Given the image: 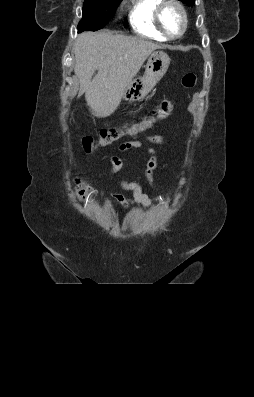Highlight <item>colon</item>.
Masks as SVG:
<instances>
[{
  "label": "colon",
  "instance_id": "1",
  "mask_svg": "<svg viewBox=\"0 0 254 397\" xmlns=\"http://www.w3.org/2000/svg\"><path fill=\"white\" fill-rule=\"evenodd\" d=\"M196 75L192 72L185 74L182 77L181 84L184 88L190 89L196 84ZM174 109V102L169 99L160 101L152 110L150 115L137 123H132L124 128L108 127L100 130L98 137L94 140L92 137L83 138V146L87 152H90L98 147L109 145L124 135H135L152 127L157 120L166 118ZM83 192V191H82Z\"/></svg>",
  "mask_w": 254,
  "mask_h": 397
}]
</instances>
